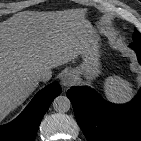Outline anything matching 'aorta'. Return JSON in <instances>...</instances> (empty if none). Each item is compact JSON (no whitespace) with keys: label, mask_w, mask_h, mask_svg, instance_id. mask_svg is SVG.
<instances>
[{"label":"aorta","mask_w":141,"mask_h":141,"mask_svg":"<svg viewBox=\"0 0 141 141\" xmlns=\"http://www.w3.org/2000/svg\"><path fill=\"white\" fill-rule=\"evenodd\" d=\"M71 107V102L66 96H58L53 101V108L56 112H67Z\"/></svg>","instance_id":"762f6f07"}]
</instances>
